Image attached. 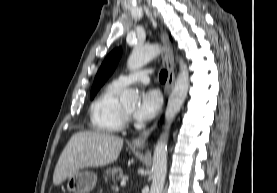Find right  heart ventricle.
I'll use <instances>...</instances> for the list:
<instances>
[{"mask_svg": "<svg viewBox=\"0 0 277 193\" xmlns=\"http://www.w3.org/2000/svg\"><path fill=\"white\" fill-rule=\"evenodd\" d=\"M120 89L121 87L112 82L91 103L89 109L90 126L95 132L114 134L123 129L125 119L117 97Z\"/></svg>", "mask_w": 277, "mask_h": 193, "instance_id": "e07e8e85", "label": "right heart ventricle"}]
</instances>
